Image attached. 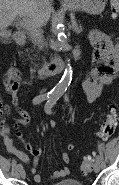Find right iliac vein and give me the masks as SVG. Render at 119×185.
<instances>
[{"label":"right iliac vein","mask_w":119,"mask_h":185,"mask_svg":"<svg viewBox=\"0 0 119 185\" xmlns=\"http://www.w3.org/2000/svg\"><path fill=\"white\" fill-rule=\"evenodd\" d=\"M19 174H20V177H21L22 179H24V178L26 177V172H25V170H24L23 168H21V169L19 170Z\"/></svg>","instance_id":"right-iliac-vein-1"}]
</instances>
